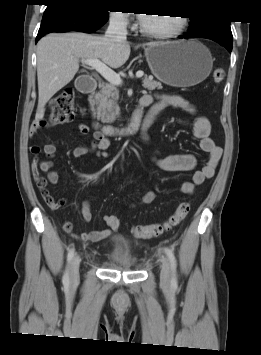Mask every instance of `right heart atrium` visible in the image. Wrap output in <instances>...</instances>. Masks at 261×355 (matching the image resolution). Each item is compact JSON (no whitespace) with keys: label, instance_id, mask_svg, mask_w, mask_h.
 Segmentation results:
<instances>
[{"label":"right heart atrium","instance_id":"right-heart-atrium-1","mask_svg":"<svg viewBox=\"0 0 261 355\" xmlns=\"http://www.w3.org/2000/svg\"><path fill=\"white\" fill-rule=\"evenodd\" d=\"M109 20L116 28L127 29L130 27V16L125 11H111L109 14Z\"/></svg>","mask_w":261,"mask_h":355}]
</instances>
